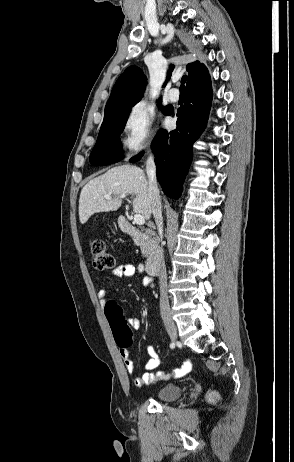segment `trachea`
<instances>
[{
  "label": "trachea",
  "mask_w": 294,
  "mask_h": 462,
  "mask_svg": "<svg viewBox=\"0 0 294 462\" xmlns=\"http://www.w3.org/2000/svg\"><path fill=\"white\" fill-rule=\"evenodd\" d=\"M187 81V76L184 75L181 79V86H180V91H183L185 92V86H184V83Z\"/></svg>",
  "instance_id": "trachea-1"
}]
</instances>
